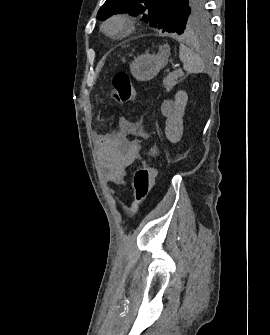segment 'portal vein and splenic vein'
<instances>
[{
	"instance_id": "1",
	"label": "portal vein and splenic vein",
	"mask_w": 270,
	"mask_h": 335,
	"mask_svg": "<svg viewBox=\"0 0 270 335\" xmlns=\"http://www.w3.org/2000/svg\"><path fill=\"white\" fill-rule=\"evenodd\" d=\"M173 66H174V68H179V64L173 63ZM178 72H181V74H183L182 70H178Z\"/></svg>"
}]
</instances>
